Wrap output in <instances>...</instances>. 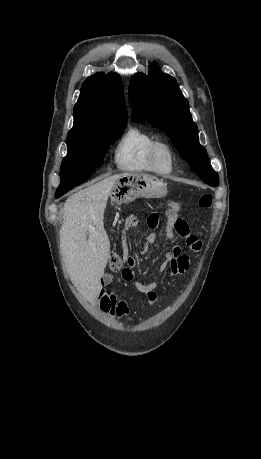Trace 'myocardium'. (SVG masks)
I'll return each mask as SVG.
<instances>
[{"instance_id": "myocardium-1", "label": "myocardium", "mask_w": 261, "mask_h": 459, "mask_svg": "<svg viewBox=\"0 0 261 459\" xmlns=\"http://www.w3.org/2000/svg\"><path fill=\"white\" fill-rule=\"evenodd\" d=\"M161 150H165L171 159V167L168 171H163L158 166V154ZM150 162L155 171L159 175H169L174 172L177 162V157L172 145L165 140H156L150 149Z\"/></svg>"}]
</instances>
